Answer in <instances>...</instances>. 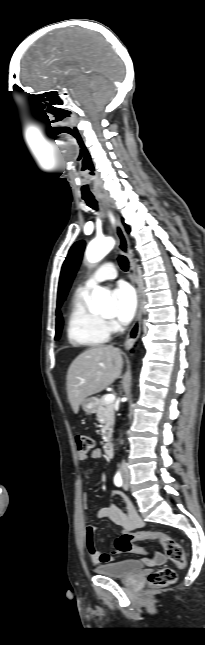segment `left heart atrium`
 <instances>
[{"label":"left heart atrium","mask_w":205,"mask_h":645,"mask_svg":"<svg viewBox=\"0 0 205 645\" xmlns=\"http://www.w3.org/2000/svg\"><path fill=\"white\" fill-rule=\"evenodd\" d=\"M113 297L118 321L123 324L130 322L137 309V297L133 289L125 283H120L113 290Z\"/></svg>","instance_id":"left-heart-atrium-1"}]
</instances>
